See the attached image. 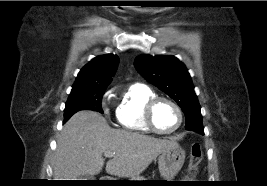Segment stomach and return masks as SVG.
I'll return each mask as SVG.
<instances>
[{
	"mask_svg": "<svg viewBox=\"0 0 267 186\" xmlns=\"http://www.w3.org/2000/svg\"><path fill=\"white\" fill-rule=\"evenodd\" d=\"M185 161V151L177 144L163 151L158 157V168L164 181H172Z\"/></svg>",
	"mask_w": 267,
	"mask_h": 186,
	"instance_id": "obj_1",
	"label": "stomach"
}]
</instances>
